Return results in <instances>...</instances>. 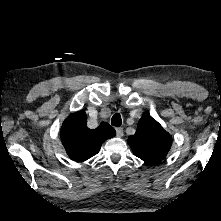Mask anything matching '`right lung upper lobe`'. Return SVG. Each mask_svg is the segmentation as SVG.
Wrapping results in <instances>:
<instances>
[{"mask_svg": "<svg viewBox=\"0 0 221 221\" xmlns=\"http://www.w3.org/2000/svg\"><path fill=\"white\" fill-rule=\"evenodd\" d=\"M84 110L70 114L61 127V140L70 158L85 161L100 150L102 143L115 136V129L108 123H101L96 129L86 125Z\"/></svg>", "mask_w": 221, "mask_h": 221, "instance_id": "obj_1", "label": "right lung upper lobe"}]
</instances>
